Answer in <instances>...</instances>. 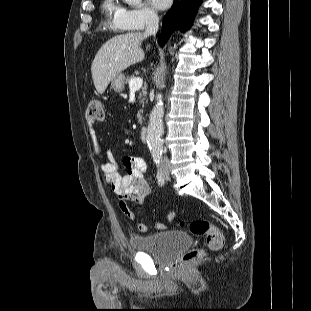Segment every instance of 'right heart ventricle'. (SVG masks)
Masks as SVG:
<instances>
[{"label":"right heart ventricle","mask_w":311,"mask_h":311,"mask_svg":"<svg viewBox=\"0 0 311 311\" xmlns=\"http://www.w3.org/2000/svg\"><path fill=\"white\" fill-rule=\"evenodd\" d=\"M101 9L105 18V24L115 31H126L124 23L125 8L116 0H103Z\"/></svg>","instance_id":"right-heart-ventricle-1"}]
</instances>
